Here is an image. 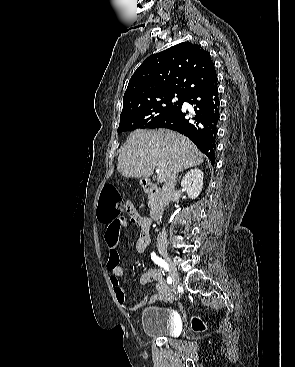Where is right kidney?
<instances>
[{"instance_id":"right-kidney-1","label":"right kidney","mask_w":295,"mask_h":367,"mask_svg":"<svg viewBox=\"0 0 295 367\" xmlns=\"http://www.w3.org/2000/svg\"><path fill=\"white\" fill-rule=\"evenodd\" d=\"M182 188L191 199H196L203 188V172L193 169L188 172L181 182Z\"/></svg>"}]
</instances>
